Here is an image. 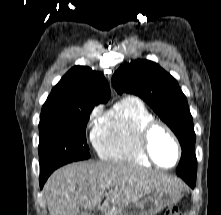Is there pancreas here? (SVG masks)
<instances>
[{"instance_id": "cf45deb5", "label": "pancreas", "mask_w": 221, "mask_h": 215, "mask_svg": "<svg viewBox=\"0 0 221 215\" xmlns=\"http://www.w3.org/2000/svg\"><path fill=\"white\" fill-rule=\"evenodd\" d=\"M110 215H119L118 214V209H114Z\"/></svg>"}]
</instances>
